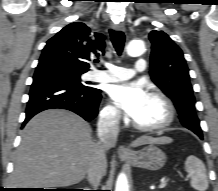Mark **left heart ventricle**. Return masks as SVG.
Listing matches in <instances>:
<instances>
[{
    "mask_svg": "<svg viewBox=\"0 0 218 191\" xmlns=\"http://www.w3.org/2000/svg\"><path fill=\"white\" fill-rule=\"evenodd\" d=\"M167 110L163 102L149 95L140 113L134 119L143 126L159 125L165 121Z\"/></svg>",
    "mask_w": 218,
    "mask_h": 191,
    "instance_id": "1",
    "label": "left heart ventricle"
}]
</instances>
